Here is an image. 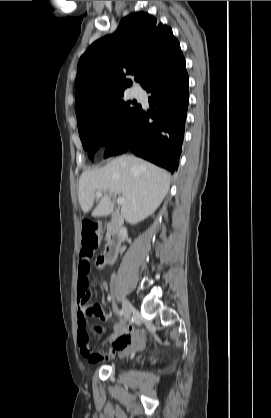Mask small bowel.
<instances>
[{
    "label": "small bowel",
    "mask_w": 271,
    "mask_h": 418,
    "mask_svg": "<svg viewBox=\"0 0 271 418\" xmlns=\"http://www.w3.org/2000/svg\"><path fill=\"white\" fill-rule=\"evenodd\" d=\"M88 273L89 260L82 258L78 266V281H77V305L78 315L77 323L79 329L90 328L94 333L101 331V321L107 316L103 314V309L97 305L96 299H93L88 290ZM88 331L86 336L91 338L93 333ZM111 349L108 351L96 350L91 345H84L79 342L81 354L90 362L97 363L102 360L112 358L116 352L120 355H125L134 349L142 347L144 344L143 336L137 332L134 327L129 326L124 332L113 334L110 337Z\"/></svg>",
    "instance_id": "obj_1"
}]
</instances>
